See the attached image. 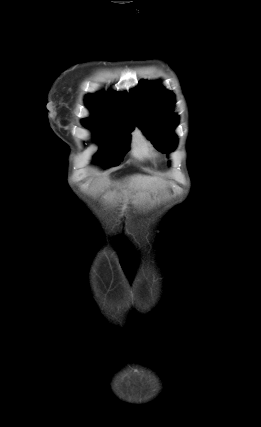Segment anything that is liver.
Returning <instances> with one entry per match:
<instances>
[{"mask_svg": "<svg viewBox=\"0 0 261 427\" xmlns=\"http://www.w3.org/2000/svg\"><path fill=\"white\" fill-rule=\"evenodd\" d=\"M132 181L135 182L140 189H148L153 183H159L156 178L140 175L133 177Z\"/></svg>", "mask_w": 261, "mask_h": 427, "instance_id": "obj_1", "label": "liver"}]
</instances>
